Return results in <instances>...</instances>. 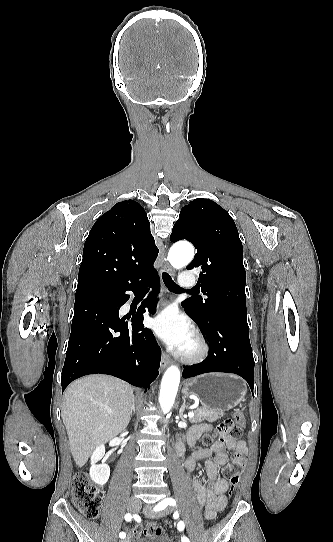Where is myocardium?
<instances>
[{"mask_svg": "<svg viewBox=\"0 0 333 542\" xmlns=\"http://www.w3.org/2000/svg\"><path fill=\"white\" fill-rule=\"evenodd\" d=\"M194 348L190 352H179L175 354V357L183 362L188 364H196L204 361L209 353V347L205 341L204 336L196 331L194 333Z\"/></svg>", "mask_w": 333, "mask_h": 542, "instance_id": "1", "label": "myocardium"}]
</instances>
